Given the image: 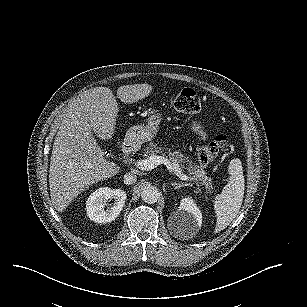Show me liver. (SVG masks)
I'll return each instance as SVG.
<instances>
[{
	"label": "liver",
	"mask_w": 307,
	"mask_h": 307,
	"mask_svg": "<svg viewBox=\"0 0 307 307\" xmlns=\"http://www.w3.org/2000/svg\"><path fill=\"white\" fill-rule=\"evenodd\" d=\"M148 84L121 86L117 96L135 102L150 92ZM117 102L110 89L95 87L77 97L65 113L56 134L49 167L52 205L62 211L73 198L96 181L113 176L118 167L104 159L90 127L100 138H110Z\"/></svg>",
	"instance_id": "6515ba94"
}]
</instances>
